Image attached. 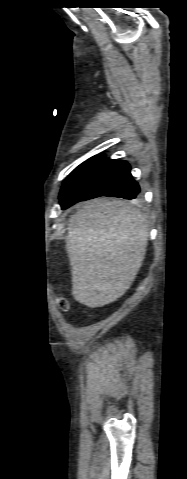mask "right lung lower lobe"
Masks as SVG:
<instances>
[{
  "label": "right lung lower lobe",
  "instance_id": "1",
  "mask_svg": "<svg viewBox=\"0 0 187 479\" xmlns=\"http://www.w3.org/2000/svg\"><path fill=\"white\" fill-rule=\"evenodd\" d=\"M139 192L126 161L104 158L74 182L60 197V205L66 209L76 202L100 196L135 199Z\"/></svg>",
  "mask_w": 187,
  "mask_h": 479
}]
</instances>
